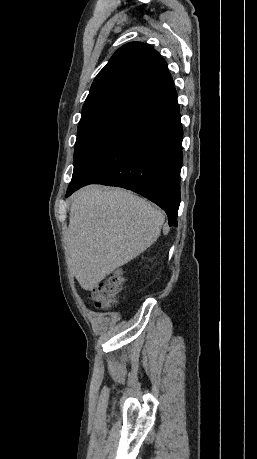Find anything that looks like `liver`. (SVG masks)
<instances>
[{"mask_svg": "<svg viewBox=\"0 0 257 459\" xmlns=\"http://www.w3.org/2000/svg\"><path fill=\"white\" fill-rule=\"evenodd\" d=\"M165 217L120 188L87 186L73 196L66 235L67 263L85 290L130 262L159 237Z\"/></svg>", "mask_w": 257, "mask_h": 459, "instance_id": "1", "label": "liver"}]
</instances>
